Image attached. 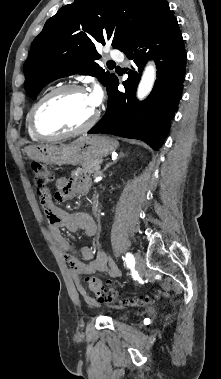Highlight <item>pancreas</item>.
<instances>
[{"mask_svg": "<svg viewBox=\"0 0 221 379\" xmlns=\"http://www.w3.org/2000/svg\"><path fill=\"white\" fill-rule=\"evenodd\" d=\"M101 163V160H94V161H89L85 162L82 164V168L78 167L77 171L72 172V176H76L77 173L80 174H93V173H98L99 169L97 168Z\"/></svg>", "mask_w": 221, "mask_h": 379, "instance_id": "1", "label": "pancreas"}]
</instances>
